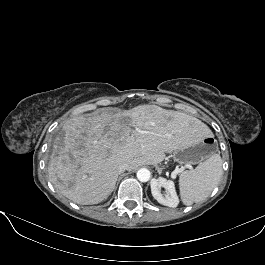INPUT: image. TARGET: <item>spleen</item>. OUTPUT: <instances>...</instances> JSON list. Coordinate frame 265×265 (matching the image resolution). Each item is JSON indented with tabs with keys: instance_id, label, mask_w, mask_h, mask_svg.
I'll return each mask as SVG.
<instances>
[{
	"instance_id": "spleen-1",
	"label": "spleen",
	"mask_w": 265,
	"mask_h": 265,
	"mask_svg": "<svg viewBox=\"0 0 265 265\" xmlns=\"http://www.w3.org/2000/svg\"><path fill=\"white\" fill-rule=\"evenodd\" d=\"M222 172V159L219 154H212L194 170L182 172L179 189L183 204L190 206L205 200L218 185Z\"/></svg>"
}]
</instances>
